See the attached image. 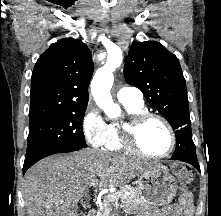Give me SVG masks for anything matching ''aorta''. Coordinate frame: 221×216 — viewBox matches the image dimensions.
<instances>
[{
    "label": "aorta",
    "instance_id": "obj_1",
    "mask_svg": "<svg viewBox=\"0 0 221 216\" xmlns=\"http://www.w3.org/2000/svg\"><path fill=\"white\" fill-rule=\"evenodd\" d=\"M122 52L119 47L114 46L108 53L106 64L98 69L91 81V94L96 104L110 118L120 115L119 105L113 102L110 90L113 85V72L122 63Z\"/></svg>",
    "mask_w": 221,
    "mask_h": 216
}]
</instances>
